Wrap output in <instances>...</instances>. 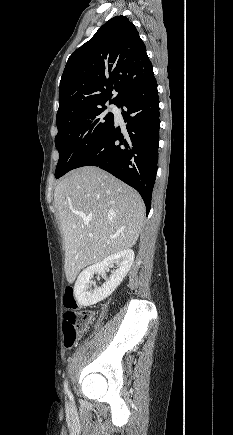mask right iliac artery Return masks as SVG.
Instances as JSON below:
<instances>
[{"label": "right iliac artery", "instance_id": "obj_1", "mask_svg": "<svg viewBox=\"0 0 233 435\" xmlns=\"http://www.w3.org/2000/svg\"><path fill=\"white\" fill-rule=\"evenodd\" d=\"M64 390H65V393H66V394H68L69 396H71V393H70V391H69V389H68V387H67V383H66V382L64 383Z\"/></svg>", "mask_w": 233, "mask_h": 435}]
</instances>
